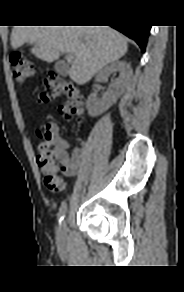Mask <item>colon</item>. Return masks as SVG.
I'll list each match as a JSON object with an SVG mask.
<instances>
[{"label":"colon","instance_id":"obj_1","mask_svg":"<svg viewBox=\"0 0 184 292\" xmlns=\"http://www.w3.org/2000/svg\"><path fill=\"white\" fill-rule=\"evenodd\" d=\"M14 80L19 84H25L35 77L34 65L20 55L10 57ZM63 98L60 113L66 119H81L84 115V98L80 90L70 81L59 74L50 73L45 77L44 89L38 96L40 103H48ZM56 126L47 123L37 131L41 143L38 147L37 164L44 174V184L52 192H59L64 188V180L58 176L56 153L51 148V139Z\"/></svg>","mask_w":184,"mask_h":292}]
</instances>
